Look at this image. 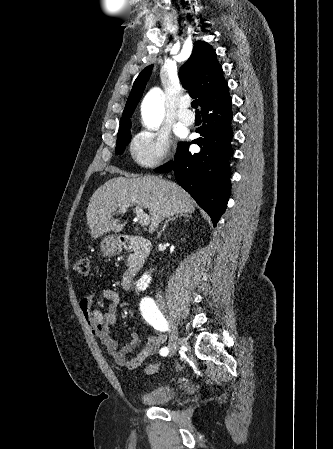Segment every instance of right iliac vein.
<instances>
[{"mask_svg":"<svg viewBox=\"0 0 333 449\" xmlns=\"http://www.w3.org/2000/svg\"><path fill=\"white\" fill-rule=\"evenodd\" d=\"M179 341H180V339L178 336V330L176 327H173L170 332L169 342H168V349H169L170 355H173L176 353Z\"/></svg>","mask_w":333,"mask_h":449,"instance_id":"63e3f726","label":"right iliac vein"}]
</instances>
